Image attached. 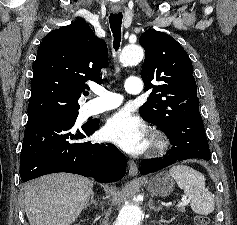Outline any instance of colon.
Masks as SVG:
<instances>
[{
    "mask_svg": "<svg viewBox=\"0 0 237 225\" xmlns=\"http://www.w3.org/2000/svg\"><path fill=\"white\" fill-rule=\"evenodd\" d=\"M196 225H210V219L206 216H199L196 219Z\"/></svg>",
    "mask_w": 237,
    "mask_h": 225,
    "instance_id": "1",
    "label": "colon"
}]
</instances>
